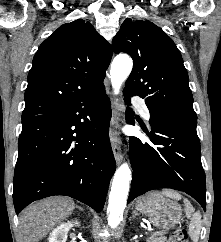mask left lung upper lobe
<instances>
[{"label":"left lung upper lobe","mask_w":221,"mask_h":242,"mask_svg":"<svg viewBox=\"0 0 221 242\" xmlns=\"http://www.w3.org/2000/svg\"><path fill=\"white\" fill-rule=\"evenodd\" d=\"M114 52L133 61L125 91L145 99L154 117L197 125L187 70L175 43L150 21L126 19L113 38Z\"/></svg>","instance_id":"left-lung-upper-lobe-1"}]
</instances>
